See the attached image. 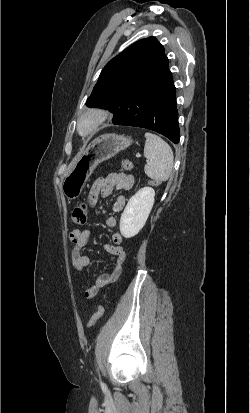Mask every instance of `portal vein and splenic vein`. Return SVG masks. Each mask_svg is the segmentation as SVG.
<instances>
[{
	"instance_id": "1",
	"label": "portal vein and splenic vein",
	"mask_w": 250,
	"mask_h": 413,
	"mask_svg": "<svg viewBox=\"0 0 250 413\" xmlns=\"http://www.w3.org/2000/svg\"><path fill=\"white\" fill-rule=\"evenodd\" d=\"M136 157H137V158H140V157H141V155H140V154H137V155H136Z\"/></svg>"
}]
</instances>
